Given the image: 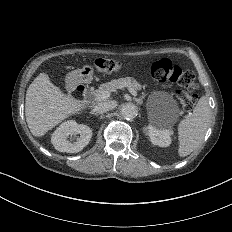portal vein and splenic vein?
<instances>
[{
  "mask_svg": "<svg viewBox=\"0 0 232 232\" xmlns=\"http://www.w3.org/2000/svg\"><path fill=\"white\" fill-rule=\"evenodd\" d=\"M128 90L133 96H137L136 90H134L131 87H128ZM109 97H110V93L108 91H103L97 96L96 100L101 101V100L108 99Z\"/></svg>",
  "mask_w": 232,
  "mask_h": 232,
  "instance_id": "obj_1",
  "label": "portal vein and splenic vein"
}]
</instances>
